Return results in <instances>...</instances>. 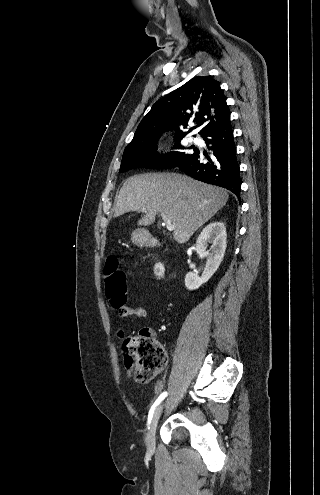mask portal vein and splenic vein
Here are the masks:
<instances>
[{
	"instance_id": "1",
	"label": "portal vein and splenic vein",
	"mask_w": 320,
	"mask_h": 495,
	"mask_svg": "<svg viewBox=\"0 0 320 495\" xmlns=\"http://www.w3.org/2000/svg\"><path fill=\"white\" fill-rule=\"evenodd\" d=\"M142 211H145V209H142ZM161 217L163 219V225L166 226V228L169 230V231H172L174 229V225L172 224L171 220L169 219V217H167L165 214L161 213Z\"/></svg>"
}]
</instances>
